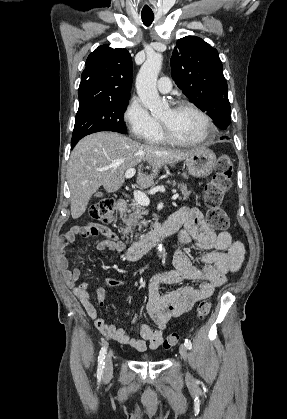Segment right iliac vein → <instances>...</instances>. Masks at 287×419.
Listing matches in <instances>:
<instances>
[{"instance_id":"right-iliac-vein-1","label":"right iliac vein","mask_w":287,"mask_h":419,"mask_svg":"<svg viewBox=\"0 0 287 419\" xmlns=\"http://www.w3.org/2000/svg\"><path fill=\"white\" fill-rule=\"evenodd\" d=\"M113 372V360L112 354H109L105 359L104 378L107 379L112 375Z\"/></svg>"}]
</instances>
